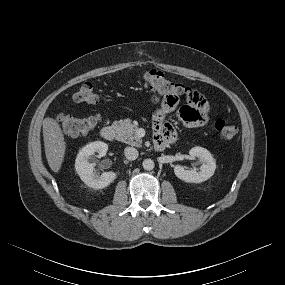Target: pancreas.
<instances>
[{
	"label": "pancreas",
	"instance_id": "1",
	"mask_svg": "<svg viewBox=\"0 0 285 285\" xmlns=\"http://www.w3.org/2000/svg\"><path fill=\"white\" fill-rule=\"evenodd\" d=\"M118 129L117 139L131 146L140 147L142 140L135 136L136 128L130 120H120L113 124Z\"/></svg>",
	"mask_w": 285,
	"mask_h": 285
}]
</instances>
